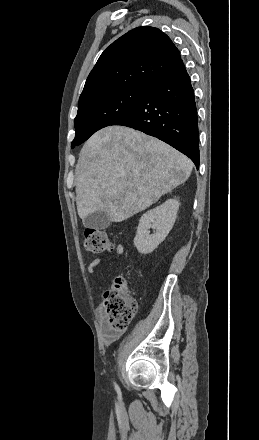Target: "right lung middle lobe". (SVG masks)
<instances>
[{"label":"right lung middle lobe","mask_w":259,"mask_h":440,"mask_svg":"<svg viewBox=\"0 0 259 440\" xmlns=\"http://www.w3.org/2000/svg\"><path fill=\"white\" fill-rule=\"evenodd\" d=\"M148 87L124 88L92 99L78 106L74 120L76 135L71 147L80 145L96 131L112 125L130 112Z\"/></svg>","instance_id":"right-lung-middle-lobe-1"}]
</instances>
